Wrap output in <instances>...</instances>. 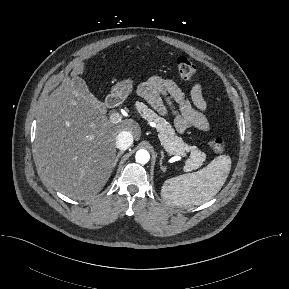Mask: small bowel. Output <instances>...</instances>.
<instances>
[{
	"label": "small bowel",
	"instance_id": "obj_1",
	"mask_svg": "<svg viewBox=\"0 0 289 289\" xmlns=\"http://www.w3.org/2000/svg\"><path fill=\"white\" fill-rule=\"evenodd\" d=\"M140 95L160 114L170 111L174 117L177 132L184 133L190 128L207 132L210 123L204 115L207 103L200 83L190 91L191 101L187 100L181 88L171 79L152 76L139 88Z\"/></svg>",
	"mask_w": 289,
	"mask_h": 289
}]
</instances>
